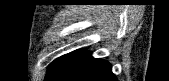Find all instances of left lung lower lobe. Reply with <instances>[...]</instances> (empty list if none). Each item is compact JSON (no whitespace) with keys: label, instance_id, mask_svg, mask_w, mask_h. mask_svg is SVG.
I'll list each match as a JSON object with an SVG mask.
<instances>
[{"label":"left lung lower lobe","instance_id":"obj_1","mask_svg":"<svg viewBox=\"0 0 169 81\" xmlns=\"http://www.w3.org/2000/svg\"><path fill=\"white\" fill-rule=\"evenodd\" d=\"M47 81H116L111 65L94 59L86 50L74 51L60 57L48 70Z\"/></svg>","mask_w":169,"mask_h":81}]
</instances>
